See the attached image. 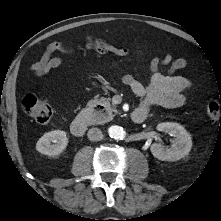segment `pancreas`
I'll return each instance as SVG.
<instances>
[{
	"label": "pancreas",
	"instance_id": "cf45deb5",
	"mask_svg": "<svg viewBox=\"0 0 221 221\" xmlns=\"http://www.w3.org/2000/svg\"><path fill=\"white\" fill-rule=\"evenodd\" d=\"M89 103H90V105H97V104L103 105L106 109V112H107V116L104 117V118H100L98 113H95V112L91 113L87 118V121H88L89 124L103 123L104 121L112 118L114 116L113 113H115V114L118 113V111L114 107L111 106L109 100L95 99V100H91Z\"/></svg>",
	"mask_w": 221,
	"mask_h": 221
}]
</instances>
